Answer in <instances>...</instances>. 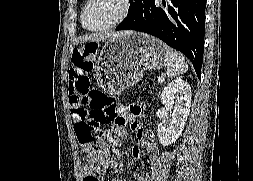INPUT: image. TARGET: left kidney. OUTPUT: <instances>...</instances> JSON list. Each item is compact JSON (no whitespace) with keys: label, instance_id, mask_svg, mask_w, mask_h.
I'll return each mask as SVG.
<instances>
[{"label":"left kidney","instance_id":"5707ae66","mask_svg":"<svg viewBox=\"0 0 253 181\" xmlns=\"http://www.w3.org/2000/svg\"><path fill=\"white\" fill-rule=\"evenodd\" d=\"M161 117L168 118L171 111L169 124H158V138L163 146L175 143L181 136L191 107V88L187 82L177 78L164 87L160 96Z\"/></svg>","mask_w":253,"mask_h":181}]
</instances>
